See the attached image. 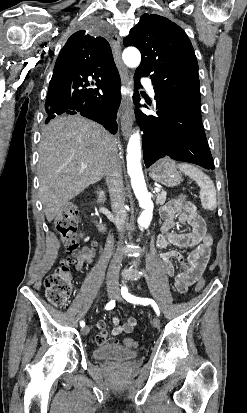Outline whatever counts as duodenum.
Masks as SVG:
<instances>
[{
	"instance_id": "1",
	"label": "duodenum",
	"mask_w": 247,
	"mask_h": 413,
	"mask_svg": "<svg viewBox=\"0 0 247 413\" xmlns=\"http://www.w3.org/2000/svg\"><path fill=\"white\" fill-rule=\"evenodd\" d=\"M98 204H103L105 202V194L102 191L98 192ZM95 225L98 228V230L102 233H106L107 232V228L105 226V224L100 221L99 219H95Z\"/></svg>"
}]
</instances>
